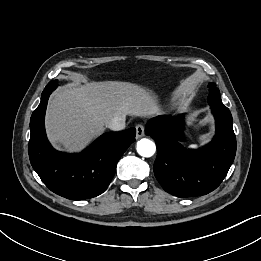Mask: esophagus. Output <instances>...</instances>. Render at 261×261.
Listing matches in <instances>:
<instances>
[{"label":"esophagus","instance_id":"esophagus-1","mask_svg":"<svg viewBox=\"0 0 261 261\" xmlns=\"http://www.w3.org/2000/svg\"><path fill=\"white\" fill-rule=\"evenodd\" d=\"M145 128L142 124L136 125V138H141L144 136Z\"/></svg>","mask_w":261,"mask_h":261}]
</instances>
